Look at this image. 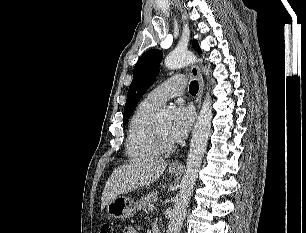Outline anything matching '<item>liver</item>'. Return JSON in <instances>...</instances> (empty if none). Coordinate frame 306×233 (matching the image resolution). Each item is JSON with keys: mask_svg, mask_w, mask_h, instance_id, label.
<instances>
[{"mask_svg": "<svg viewBox=\"0 0 306 233\" xmlns=\"http://www.w3.org/2000/svg\"><path fill=\"white\" fill-rule=\"evenodd\" d=\"M167 162L162 160H133L118 167L108 178L101 197V210L120 196L156 181L166 170Z\"/></svg>", "mask_w": 306, "mask_h": 233, "instance_id": "1", "label": "liver"}]
</instances>
